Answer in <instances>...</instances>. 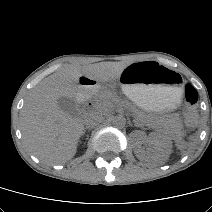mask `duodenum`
Returning <instances> with one entry per match:
<instances>
[{
  "label": "duodenum",
  "mask_w": 212,
  "mask_h": 212,
  "mask_svg": "<svg viewBox=\"0 0 212 212\" xmlns=\"http://www.w3.org/2000/svg\"><path fill=\"white\" fill-rule=\"evenodd\" d=\"M81 94L83 96V109L86 113L90 112L92 109V102L88 99V94L93 88L92 83L87 80L86 82H81Z\"/></svg>",
  "instance_id": "duodenum-1"
}]
</instances>
